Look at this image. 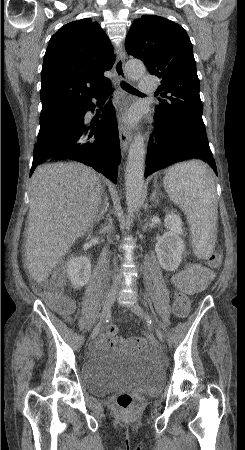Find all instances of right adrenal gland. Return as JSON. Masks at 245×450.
<instances>
[{"instance_id": "2a0ac1e0", "label": "right adrenal gland", "mask_w": 245, "mask_h": 450, "mask_svg": "<svg viewBox=\"0 0 245 450\" xmlns=\"http://www.w3.org/2000/svg\"><path fill=\"white\" fill-rule=\"evenodd\" d=\"M100 212L96 218L97 221H100L102 218H104V215L107 213L109 208L108 198L104 193V190L102 191V199L100 200Z\"/></svg>"}]
</instances>
